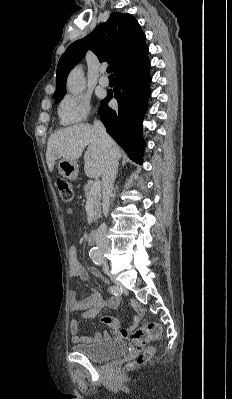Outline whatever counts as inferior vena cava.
Masks as SVG:
<instances>
[{
  "label": "inferior vena cava",
  "instance_id": "602c4592",
  "mask_svg": "<svg viewBox=\"0 0 232 399\" xmlns=\"http://www.w3.org/2000/svg\"><path fill=\"white\" fill-rule=\"evenodd\" d=\"M95 130H97L99 134V138L102 144L107 146V156H106V164L105 170H103L102 174V194H103V213L107 215L109 211V203L110 196L113 190V184L115 180L116 170L118 168V156L116 154V150H114V142L111 140L110 136H108L102 122L99 120H94ZM106 223H101L100 227L97 229L96 233V243L97 248L102 250H108L110 248V241L106 239Z\"/></svg>",
  "mask_w": 232,
  "mask_h": 399
}]
</instances>
